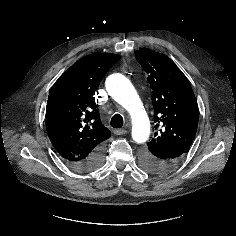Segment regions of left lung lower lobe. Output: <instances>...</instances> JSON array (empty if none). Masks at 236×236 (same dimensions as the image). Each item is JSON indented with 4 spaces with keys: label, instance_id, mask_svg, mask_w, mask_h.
Returning a JSON list of instances; mask_svg holds the SVG:
<instances>
[{
    "label": "left lung lower lobe",
    "instance_id": "obj_1",
    "mask_svg": "<svg viewBox=\"0 0 236 236\" xmlns=\"http://www.w3.org/2000/svg\"><path fill=\"white\" fill-rule=\"evenodd\" d=\"M185 153L179 150L162 152L158 161L155 162V171L150 173L161 174L174 168L182 159ZM146 158V156H143Z\"/></svg>",
    "mask_w": 236,
    "mask_h": 236
}]
</instances>
